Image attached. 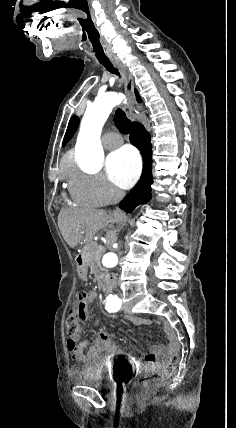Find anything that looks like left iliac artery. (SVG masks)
Wrapping results in <instances>:
<instances>
[{"label":"left iliac artery","instance_id":"1","mask_svg":"<svg viewBox=\"0 0 236 428\" xmlns=\"http://www.w3.org/2000/svg\"><path fill=\"white\" fill-rule=\"evenodd\" d=\"M122 305L121 299L117 297V295L110 294L108 297H106V306L105 309L111 313V312H117Z\"/></svg>","mask_w":236,"mask_h":428}]
</instances>
